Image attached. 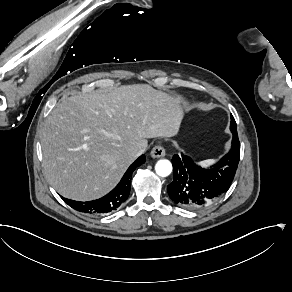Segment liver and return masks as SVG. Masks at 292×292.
<instances>
[{"mask_svg":"<svg viewBox=\"0 0 292 292\" xmlns=\"http://www.w3.org/2000/svg\"><path fill=\"white\" fill-rule=\"evenodd\" d=\"M179 101L148 85L61 99L41 135L45 175L61 195L91 200L109 192L147 139L178 135Z\"/></svg>","mask_w":292,"mask_h":292,"instance_id":"6515ba94","label":"liver"}]
</instances>
